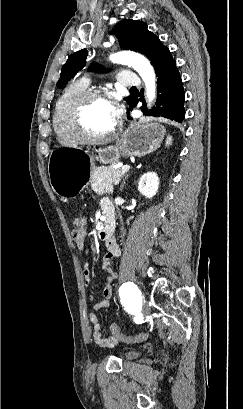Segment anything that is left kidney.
I'll return each mask as SVG.
<instances>
[{
  "label": "left kidney",
  "instance_id": "5707ae66",
  "mask_svg": "<svg viewBox=\"0 0 243 409\" xmlns=\"http://www.w3.org/2000/svg\"><path fill=\"white\" fill-rule=\"evenodd\" d=\"M159 178L156 173H145L139 180L138 191L146 198L151 199L158 191Z\"/></svg>",
  "mask_w": 243,
  "mask_h": 409
}]
</instances>
